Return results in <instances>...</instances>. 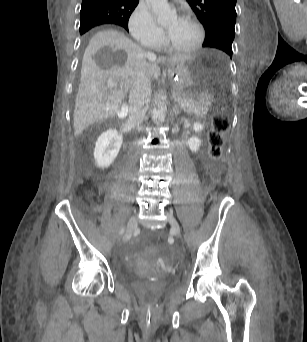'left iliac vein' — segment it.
Instances as JSON below:
<instances>
[{"mask_svg":"<svg viewBox=\"0 0 307 342\" xmlns=\"http://www.w3.org/2000/svg\"><path fill=\"white\" fill-rule=\"evenodd\" d=\"M167 219L171 225L172 233L178 238L180 236V226L177 220L174 218V216L171 213H168Z\"/></svg>","mask_w":307,"mask_h":342,"instance_id":"left-iliac-vein-1","label":"left iliac vein"}]
</instances>
